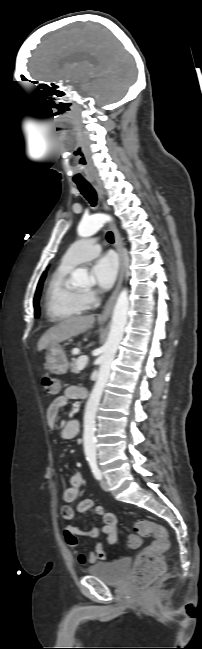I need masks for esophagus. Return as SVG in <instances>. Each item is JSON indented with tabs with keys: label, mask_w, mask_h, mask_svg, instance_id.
Wrapping results in <instances>:
<instances>
[{
	"label": "esophagus",
	"mask_w": 202,
	"mask_h": 649,
	"mask_svg": "<svg viewBox=\"0 0 202 649\" xmlns=\"http://www.w3.org/2000/svg\"><path fill=\"white\" fill-rule=\"evenodd\" d=\"M92 185L96 189V191L98 192L99 198H100V200L102 202L103 209L105 211H109V207L105 203L102 190L100 189V187L97 184L92 183ZM110 228H111V230H112V232L114 234L115 247H116V250H117L118 255H119L120 272H119V278H118L116 288L113 291L112 295L110 296L109 300L107 301V303H106V305L104 307V310L102 312V318H108L111 315L114 304H115V301H116V298H117V295H118L119 290L121 288L123 275H124V260H123V253H122V241H121L120 235H119V233H118V231H117V229H116V227H115V225L113 223L110 224Z\"/></svg>",
	"instance_id": "esophagus-1"
}]
</instances>
